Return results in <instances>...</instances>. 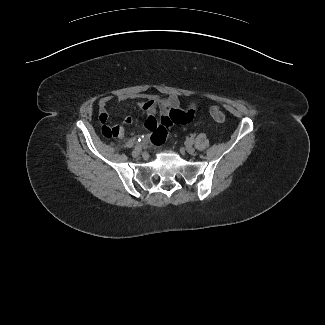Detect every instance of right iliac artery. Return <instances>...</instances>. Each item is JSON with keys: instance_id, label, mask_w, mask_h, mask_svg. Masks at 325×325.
Segmentation results:
<instances>
[{"instance_id": "obj_1", "label": "right iliac artery", "mask_w": 325, "mask_h": 325, "mask_svg": "<svg viewBox=\"0 0 325 325\" xmlns=\"http://www.w3.org/2000/svg\"><path fill=\"white\" fill-rule=\"evenodd\" d=\"M133 146H134L133 141H128V142L126 143V147H128V148H132Z\"/></svg>"}]
</instances>
